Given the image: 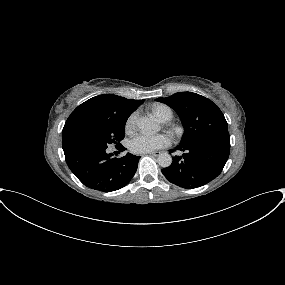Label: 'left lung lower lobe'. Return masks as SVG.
Instances as JSON below:
<instances>
[{
  "label": "left lung lower lobe",
  "mask_w": 285,
  "mask_h": 285,
  "mask_svg": "<svg viewBox=\"0 0 285 285\" xmlns=\"http://www.w3.org/2000/svg\"><path fill=\"white\" fill-rule=\"evenodd\" d=\"M183 151L172 164L161 170L166 179L182 188H197L215 179L225 166L230 142L219 139H202L180 146Z\"/></svg>",
  "instance_id": "0a47b994"
}]
</instances>
